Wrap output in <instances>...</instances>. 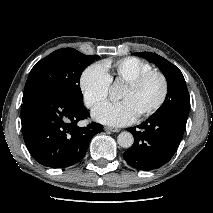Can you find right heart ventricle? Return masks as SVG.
Returning <instances> with one entry per match:
<instances>
[{"label":"right heart ventricle","mask_w":213,"mask_h":213,"mask_svg":"<svg viewBox=\"0 0 213 213\" xmlns=\"http://www.w3.org/2000/svg\"><path fill=\"white\" fill-rule=\"evenodd\" d=\"M110 82H127L139 74L152 70V66L145 60L137 57H125L113 62L103 63Z\"/></svg>","instance_id":"e07e8e85"}]
</instances>
